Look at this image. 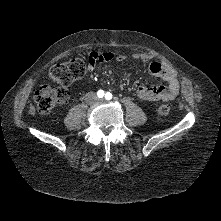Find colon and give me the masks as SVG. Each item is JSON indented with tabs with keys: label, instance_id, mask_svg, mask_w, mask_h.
Returning a JSON list of instances; mask_svg holds the SVG:
<instances>
[{
	"label": "colon",
	"instance_id": "5ec220e1",
	"mask_svg": "<svg viewBox=\"0 0 221 221\" xmlns=\"http://www.w3.org/2000/svg\"><path fill=\"white\" fill-rule=\"evenodd\" d=\"M88 70V65L81 59H72L66 63L58 64L50 69L51 79L60 84V87L43 85L34 93V101L40 113H48L58 105L64 104L69 98L66 85L82 78ZM171 108L167 104L158 107L160 116H167Z\"/></svg>",
	"mask_w": 221,
	"mask_h": 221
}]
</instances>
